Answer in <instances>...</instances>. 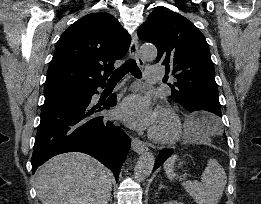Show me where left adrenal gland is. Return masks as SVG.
Returning a JSON list of instances; mask_svg holds the SVG:
<instances>
[{"label":"left adrenal gland","mask_w":261,"mask_h":204,"mask_svg":"<svg viewBox=\"0 0 261 204\" xmlns=\"http://www.w3.org/2000/svg\"><path fill=\"white\" fill-rule=\"evenodd\" d=\"M162 188H166L165 185L160 184L158 191H160Z\"/></svg>","instance_id":"left-adrenal-gland-1"}]
</instances>
